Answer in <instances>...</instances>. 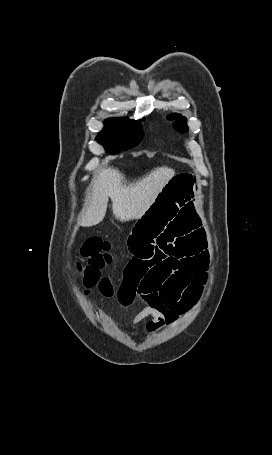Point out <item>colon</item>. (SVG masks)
Instances as JSON below:
<instances>
[{"label":"colon","mask_w":272,"mask_h":455,"mask_svg":"<svg viewBox=\"0 0 272 455\" xmlns=\"http://www.w3.org/2000/svg\"><path fill=\"white\" fill-rule=\"evenodd\" d=\"M110 243L100 237H91L82 245L80 254L81 262L77 263L80 279L86 294L98 286L100 292L111 297L113 286L106 277H101L99 270L111 262Z\"/></svg>","instance_id":"1"}]
</instances>
